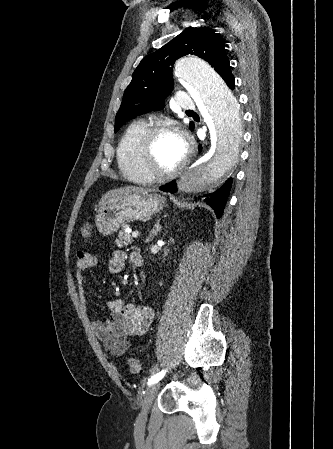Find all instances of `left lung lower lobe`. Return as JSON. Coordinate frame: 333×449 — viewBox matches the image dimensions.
<instances>
[{"mask_svg": "<svg viewBox=\"0 0 333 449\" xmlns=\"http://www.w3.org/2000/svg\"><path fill=\"white\" fill-rule=\"evenodd\" d=\"M224 81L228 85L230 89H234V76L230 72L226 73L223 77ZM232 179L229 178L219 189L214 192L205 194L201 197L204 198V201L210 205L218 218H220L223 214V209L231 188ZM160 190L170 193H175L177 191L176 181H173L169 184L159 187Z\"/></svg>", "mask_w": 333, "mask_h": 449, "instance_id": "0a47b994", "label": "left lung lower lobe"}]
</instances>
